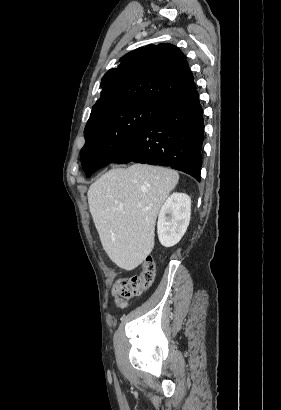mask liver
Here are the masks:
<instances>
[{
  "label": "liver",
  "mask_w": 281,
  "mask_h": 410,
  "mask_svg": "<svg viewBox=\"0 0 281 410\" xmlns=\"http://www.w3.org/2000/svg\"><path fill=\"white\" fill-rule=\"evenodd\" d=\"M178 180L172 169L133 164L109 170L89 187L101 244L118 267L133 270L152 252L158 212Z\"/></svg>",
  "instance_id": "1"
}]
</instances>
